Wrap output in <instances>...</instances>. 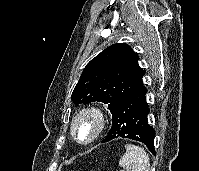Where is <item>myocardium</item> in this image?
Wrapping results in <instances>:
<instances>
[{"mask_svg":"<svg viewBox=\"0 0 199 171\" xmlns=\"http://www.w3.org/2000/svg\"><path fill=\"white\" fill-rule=\"evenodd\" d=\"M86 118L92 120L94 125V130L90 138H88L87 140H81L76 133V127L81 120ZM105 126H106V115L104 111L98 106L94 105L85 106L79 109L72 117L70 122V134L76 142L83 145H89L95 142L100 137V135L105 129Z\"/></svg>","mask_w":199,"mask_h":171,"instance_id":"obj_1","label":"myocardium"}]
</instances>
